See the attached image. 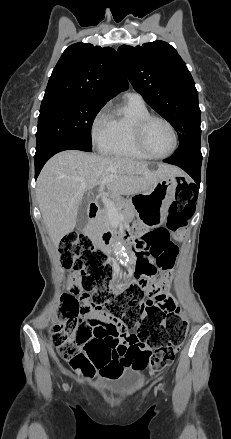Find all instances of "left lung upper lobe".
Segmentation results:
<instances>
[{
	"mask_svg": "<svg viewBox=\"0 0 231 439\" xmlns=\"http://www.w3.org/2000/svg\"><path fill=\"white\" fill-rule=\"evenodd\" d=\"M122 67L134 89L177 131L179 142L200 133L201 111L193 78L177 51L167 42L118 48Z\"/></svg>",
	"mask_w": 231,
	"mask_h": 439,
	"instance_id": "obj_1",
	"label": "left lung upper lobe"
}]
</instances>
